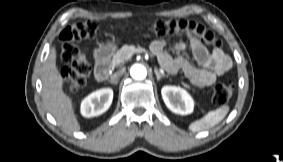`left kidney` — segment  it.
I'll return each mask as SVG.
<instances>
[{
    "mask_svg": "<svg viewBox=\"0 0 283 162\" xmlns=\"http://www.w3.org/2000/svg\"><path fill=\"white\" fill-rule=\"evenodd\" d=\"M165 105L174 113L187 115L193 112L194 101L189 93L180 87L166 85L161 89Z\"/></svg>",
    "mask_w": 283,
    "mask_h": 162,
    "instance_id": "obj_1",
    "label": "left kidney"
}]
</instances>
